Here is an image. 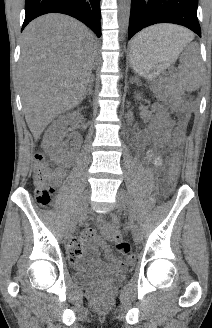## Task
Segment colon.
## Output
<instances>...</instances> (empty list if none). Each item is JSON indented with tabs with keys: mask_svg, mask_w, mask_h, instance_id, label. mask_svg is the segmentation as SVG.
<instances>
[{
	"mask_svg": "<svg viewBox=\"0 0 212 328\" xmlns=\"http://www.w3.org/2000/svg\"><path fill=\"white\" fill-rule=\"evenodd\" d=\"M34 170H33V180L36 185L35 198L40 205L47 206L54 195V189L49 184V179L52 177V171L46 163L45 156L42 153H37L35 155ZM179 175V162L177 156L172 159L169 172H168V187L172 189ZM114 239L118 242L117 251L126 256L128 262L134 260V256L130 254L131 246L126 241H121V235L116 232L114 234Z\"/></svg>",
	"mask_w": 212,
	"mask_h": 328,
	"instance_id": "colon-1",
	"label": "colon"
}]
</instances>
